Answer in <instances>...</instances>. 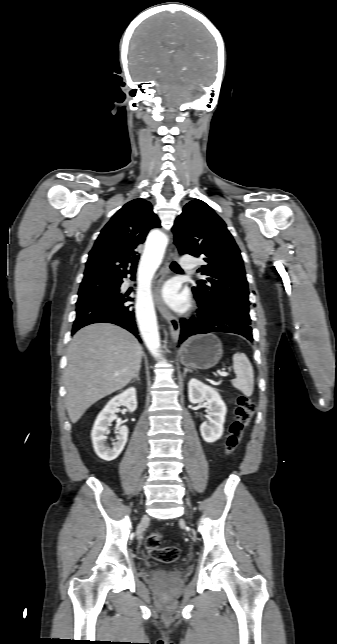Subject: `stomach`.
<instances>
[{
    "label": "stomach",
    "mask_w": 337,
    "mask_h": 644,
    "mask_svg": "<svg viewBox=\"0 0 337 644\" xmlns=\"http://www.w3.org/2000/svg\"><path fill=\"white\" fill-rule=\"evenodd\" d=\"M222 355V343L213 334L194 336L179 351L180 361L183 365L201 370L214 367Z\"/></svg>",
    "instance_id": "1"
}]
</instances>
